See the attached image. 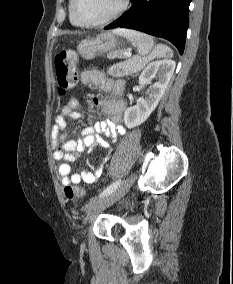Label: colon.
<instances>
[{"mask_svg": "<svg viewBox=\"0 0 233 284\" xmlns=\"http://www.w3.org/2000/svg\"><path fill=\"white\" fill-rule=\"evenodd\" d=\"M172 56V50L164 44H158L147 55L134 56L124 62L110 67L109 72L115 77L127 76L145 67L154 59H168ZM77 54L73 50H62L55 57V73L60 95H65L72 89L77 81L76 72ZM64 194L68 199L85 196V191L78 186L69 185L64 188Z\"/></svg>", "mask_w": 233, "mask_h": 284, "instance_id": "5ec220e1", "label": "colon"}]
</instances>
